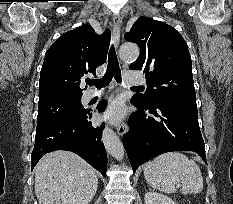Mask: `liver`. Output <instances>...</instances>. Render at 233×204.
<instances>
[{"mask_svg":"<svg viewBox=\"0 0 233 204\" xmlns=\"http://www.w3.org/2000/svg\"><path fill=\"white\" fill-rule=\"evenodd\" d=\"M97 187L96 171L69 151L48 153L35 167L39 204H89Z\"/></svg>","mask_w":233,"mask_h":204,"instance_id":"6515ba94","label":"liver"}]
</instances>
